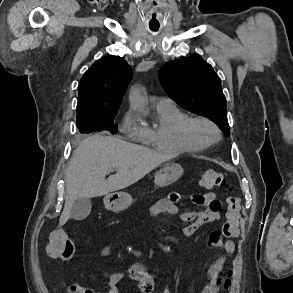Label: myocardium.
<instances>
[{
	"label": "myocardium",
	"mask_w": 293,
	"mask_h": 293,
	"mask_svg": "<svg viewBox=\"0 0 293 293\" xmlns=\"http://www.w3.org/2000/svg\"><path fill=\"white\" fill-rule=\"evenodd\" d=\"M205 124L209 126L213 133L214 137L206 140H202L195 135L194 128L197 124ZM184 134L188 142L199 149H204L209 147L210 145L214 144L218 141L221 137V132L218 125L208 117L205 116H192L189 117L184 125Z\"/></svg>",
	"instance_id": "myocardium-1"
}]
</instances>
